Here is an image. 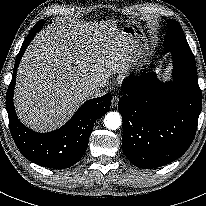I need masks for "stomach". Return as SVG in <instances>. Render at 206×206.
Instances as JSON below:
<instances>
[{"instance_id":"stomach-1","label":"stomach","mask_w":206,"mask_h":206,"mask_svg":"<svg viewBox=\"0 0 206 206\" xmlns=\"http://www.w3.org/2000/svg\"><path fill=\"white\" fill-rule=\"evenodd\" d=\"M121 31L135 40L139 56L148 52V42L140 26L135 23H128L121 28Z\"/></svg>"}]
</instances>
